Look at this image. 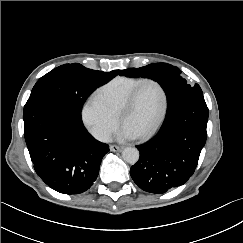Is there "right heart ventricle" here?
I'll return each mask as SVG.
<instances>
[{
  "instance_id": "1",
  "label": "right heart ventricle",
  "mask_w": 243,
  "mask_h": 243,
  "mask_svg": "<svg viewBox=\"0 0 243 243\" xmlns=\"http://www.w3.org/2000/svg\"><path fill=\"white\" fill-rule=\"evenodd\" d=\"M143 79L142 77H117L100 87L95 93L118 116L130 92Z\"/></svg>"
}]
</instances>
